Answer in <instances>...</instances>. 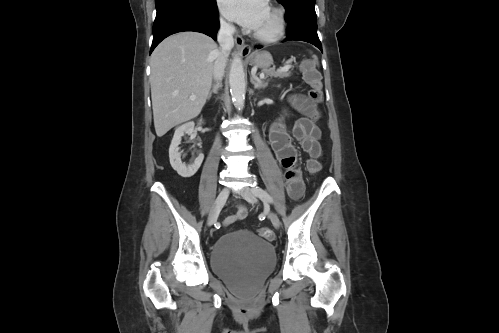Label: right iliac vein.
<instances>
[{
	"label": "right iliac vein",
	"mask_w": 499,
	"mask_h": 333,
	"mask_svg": "<svg viewBox=\"0 0 499 333\" xmlns=\"http://www.w3.org/2000/svg\"><path fill=\"white\" fill-rule=\"evenodd\" d=\"M229 189L228 188H223L221 192L219 193L218 197L216 198L214 205L212 209L210 210L209 216H208V221L207 224L208 226H212L219 215V212L221 210V207L225 204L226 200L229 197Z\"/></svg>",
	"instance_id": "63e3f726"
}]
</instances>
